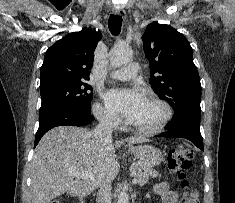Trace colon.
Instances as JSON below:
<instances>
[{
    "label": "colon",
    "instance_id": "1",
    "mask_svg": "<svg viewBox=\"0 0 235 203\" xmlns=\"http://www.w3.org/2000/svg\"><path fill=\"white\" fill-rule=\"evenodd\" d=\"M193 151L185 147H177L168 153L167 163L169 170L176 174L184 189L181 203H199L198 192L192 187L189 180V173L192 165ZM51 203H61L60 200H53Z\"/></svg>",
    "mask_w": 235,
    "mask_h": 203
}]
</instances>
